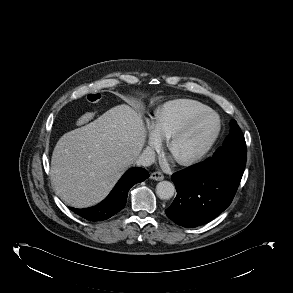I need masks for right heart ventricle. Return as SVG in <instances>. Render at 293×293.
<instances>
[{
  "instance_id": "1",
  "label": "right heart ventricle",
  "mask_w": 293,
  "mask_h": 293,
  "mask_svg": "<svg viewBox=\"0 0 293 293\" xmlns=\"http://www.w3.org/2000/svg\"><path fill=\"white\" fill-rule=\"evenodd\" d=\"M208 110L210 109L207 105L196 100H171L155 111L153 127L162 139H168L191 117Z\"/></svg>"
}]
</instances>
